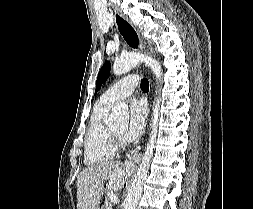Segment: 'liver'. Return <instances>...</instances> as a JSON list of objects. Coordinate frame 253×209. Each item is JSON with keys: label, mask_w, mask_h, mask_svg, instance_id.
<instances>
[{"label": "liver", "mask_w": 253, "mask_h": 209, "mask_svg": "<svg viewBox=\"0 0 253 209\" xmlns=\"http://www.w3.org/2000/svg\"><path fill=\"white\" fill-rule=\"evenodd\" d=\"M127 179V173L119 168V162L108 161L85 168L77 177V209H98L104 182L109 189L120 190Z\"/></svg>", "instance_id": "liver-1"}]
</instances>
